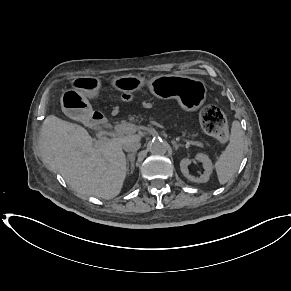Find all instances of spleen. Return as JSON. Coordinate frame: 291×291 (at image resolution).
<instances>
[{"mask_svg":"<svg viewBox=\"0 0 291 291\" xmlns=\"http://www.w3.org/2000/svg\"><path fill=\"white\" fill-rule=\"evenodd\" d=\"M244 137L240 123L233 121L230 142L215 163L220 184L227 183L237 172L244 155Z\"/></svg>","mask_w":291,"mask_h":291,"instance_id":"obj_1","label":"spleen"}]
</instances>
